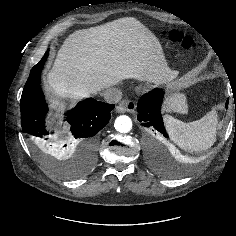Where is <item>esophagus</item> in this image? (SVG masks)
<instances>
[{
	"label": "esophagus",
	"instance_id": "obj_1",
	"mask_svg": "<svg viewBox=\"0 0 236 236\" xmlns=\"http://www.w3.org/2000/svg\"><path fill=\"white\" fill-rule=\"evenodd\" d=\"M135 108L136 105L134 101L123 100L117 105L116 110L118 113H133Z\"/></svg>",
	"mask_w": 236,
	"mask_h": 236
}]
</instances>
